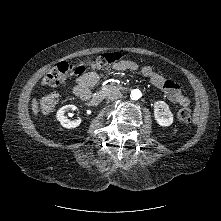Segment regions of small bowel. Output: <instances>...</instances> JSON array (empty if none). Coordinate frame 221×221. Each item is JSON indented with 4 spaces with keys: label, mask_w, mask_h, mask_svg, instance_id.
<instances>
[{
    "label": "small bowel",
    "mask_w": 221,
    "mask_h": 221,
    "mask_svg": "<svg viewBox=\"0 0 221 221\" xmlns=\"http://www.w3.org/2000/svg\"><path fill=\"white\" fill-rule=\"evenodd\" d=\"M115 69L138 70V66L130 61L129 63L116 64ZM140 72L144 77L148 78L155 87L164 92L171 102L179 104L181 106L189 105V99L183 94L177 83L164 78L150 66L141 67ZM98 80L99 75L95 72H90L81 76L76 82L74 93L81 99H85L86 97L91 95L90 88L95 86Z\"/></svg>",
    "instance_id": "obj_1"
}]
</instances>
